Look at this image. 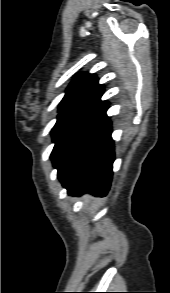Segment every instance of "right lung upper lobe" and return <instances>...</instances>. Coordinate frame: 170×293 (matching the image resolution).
Listing matches in <instances>:
<instances>
[{
	"instance_id": "1",
	"label": "right lung upper lobe",
	"mask_w": 170,
	"mask_h": 293,
	"mask_svg": "<svg viewBox=\"0 0 170 293\" xmlns=\"http://www.w3.org/2000/svg\"><path fill=\"white\" fill-rule=\"evenodd\" d=\"M104 89L98 79L88 73L78 74L67 88L59 105V113L75 108H106L107 102L101 101Z\"/></svg>"
}]
</instances>
